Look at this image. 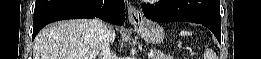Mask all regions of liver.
<instances>
[{
  "label": "liver",
  "mask_w": 261,
  "mask_h": 59,
  "mask_svg": "<svg viewBox=\"0 0 261 59\" xmlns=\"http://www.w3.org/2000/svg\"><path fill=\"white\" fill-rule=\"evenodd\" d=\"M92 21H60L45 27L35 39L34 59H95L98 45L92 32ZM110 42L115 31L109 28Z\"/></svg>",
  "instance_id": "obj_1"
}]
</instances>
